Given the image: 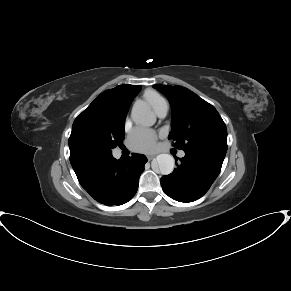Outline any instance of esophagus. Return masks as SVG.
I'll list each match as a JSON object with an SVG mask.
<instances>
[{"label":"esophagus","instance_id":"esophagus-1","mask_svg":"<svg viewBox=\"0 0 291 291\" xmlns=\"http://www.w3.org/2000/svg\"><path fill=\"white\" fill-rule=\"evenodd\" d=\"M156 156V154H152V155H147L148 160H152L154 157Z\"/></svg>","mask_w":291,"mask_h":291}]
</instances>
